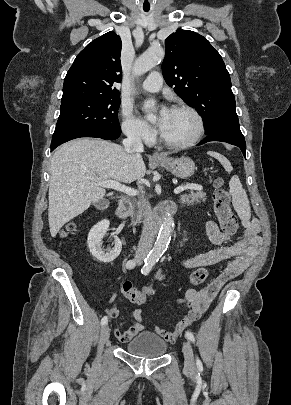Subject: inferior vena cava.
<instances>
[{"label": "inferior vena cava", "mask_w": 291, "mask_h": 405, "mask_svg": "<svg viewBox=\"0 0 291 405\" xmlns=\"http://www.w3.org/2000/svg\"><path fill=\"white\" fill-rule=\"evenodd\" d=\"M127 138L123 140L124 150L129 154L143 152V143L139 133L136 130H128ZM141 204L144 212L143 229L140 241L135 254V260L142 261L152 248L155 238L156 226L153 213L149 202L142 198Z\"/></svg>", "instance_id": "602c4592"}]
</instances>
